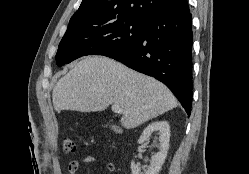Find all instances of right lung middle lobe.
<instances>
[{
	"instance_id": "1",
	"label": "right lung middle lobe",
	"mask_w": 249,
	"mask_h": 174,
	"mask_svg": "<svg viewBox=\"0 0 249 174\" xmlns=\"http://www.w3.org/2000/svg\"><path fill=\"white\" fill-rule=\"evenodd\" d=\"M144 25L145 20L121 18L67 30L59 44L56 64L61 67L85 55L122 52L141 37Z\"/></svg>"
}]
</instances>
